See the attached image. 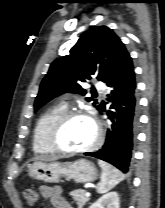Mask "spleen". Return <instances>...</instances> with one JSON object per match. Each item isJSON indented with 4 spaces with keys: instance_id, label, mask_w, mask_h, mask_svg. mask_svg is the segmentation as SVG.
<instances>
[{
    "instance_id": "obj_1",
    "label": "spleen",
    "mask_w": 165,
    "mask_h": 208,
    "mask_svg": "<svg viewBox=\"0 0 165 208\" xmlns=\"http://www.w3.org/2000/svg\"><path fill=\"white\" fill-rule=\"evenodd\" d=\"M98 164L102 169V175L101 181L97 185V192L102 194L120 183L124 179V176L118 169L105 161L99 160Z\"/></svg>"
}]
</instances>
